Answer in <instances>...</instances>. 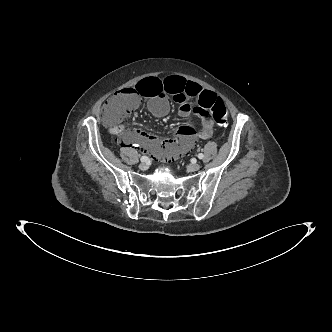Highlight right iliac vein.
Instances as JSON below:
<instances>
[{
  "label": "right iliac vein",
  "instance_id": "obj_1",
  "mask_svg": "<svg viewBox=\"0 0 332 332\" xmlns=\"http://www.w3.org/2000/svg\"><path fill=\"white\" fill-rule=\"evenodd\" d=\"M139 169L140 170H143V171H145V170H147L148 169V164L147 163H140L139 164Z\"/></svg>",
  "mask_w": 332,
  "mask_h": 332
}]
</instances>
